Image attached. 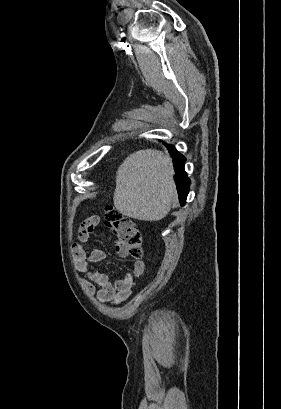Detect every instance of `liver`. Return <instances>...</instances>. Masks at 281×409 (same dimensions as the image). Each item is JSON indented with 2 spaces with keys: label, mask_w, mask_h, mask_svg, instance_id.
Here are the masks:
<instances>
[{
  "label": "liver",
  "mask_w": 281,
  "mask_h": 409,
  "mask_svg": "<svg viewBox=\"0 0 281 409\" xmlns=\"http://www.w3.org/2000/svg\"><path fill=\"white\" fill-rule=\"evenodd\" d=\"M169 154L146 148L129 154L116 174L114 205L125 217L161 221L177 198Z\"/></svg>",
  "instance_id": "6515ba94"
}]
</instances>
